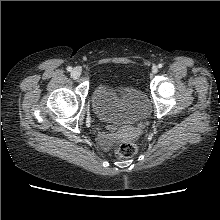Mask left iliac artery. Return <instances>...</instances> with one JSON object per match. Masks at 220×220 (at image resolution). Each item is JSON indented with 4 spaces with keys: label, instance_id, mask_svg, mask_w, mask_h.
Instances as JSON below:
<instances>
[{
    "label": "left iliac artery",
    "instance_id": "obj_1",
    "mask_svg": "<svg viewBox=\"0 0 220 220\" xmlns=\"http://www.w3.org/2000/svg\"><path fill=\"white\" fill-rule=\"evenodd\" d=\"M158 67H159V68H162V67H163V64H162V63L158 64Z\"/></svg>",
    "mask_w": 220,
    "mask_h": 220
}]
</instances>
